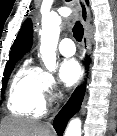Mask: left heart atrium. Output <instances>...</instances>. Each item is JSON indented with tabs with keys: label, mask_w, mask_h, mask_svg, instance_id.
Wrapping results in <instances>:
<instances>
[{
	"label": "left heart atrium",
	"mask_w": 117,
	"mask_h": 136,
	"mask_svg": "<svg viewBox=\"0 0 117 136\" xmlns=\"http://www.w3.org/2000/svg\"><path fill=\"white\" fill-rule=\"evenodd\" d=\"M81 67L77 60L65 59L59 67V78L67 86L75 85L81 77Z\"/></svg>",
	"instance_id": "39dd6f15"
}]
</instances>
